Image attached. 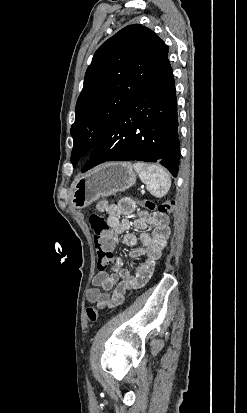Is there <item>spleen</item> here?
<instances>
[{"label": "spleen", "instance_id": "1", "mask_svg": "<svg viewBox=\"0 0 247 413\" xmlns=\"http://www.w3.org/2000/svg\"><path fill=\"white\" fill-rule=\"evenodd\" d=\"M143 162H134L133 168L138 172L141 180L145 182L147 190H150L154 196H164L170 188V176L162 166H156L155 172L147 176L145 170H142Z\"/></svg>", "mask_w": 247, "mask_h": 413}]
</instances>
